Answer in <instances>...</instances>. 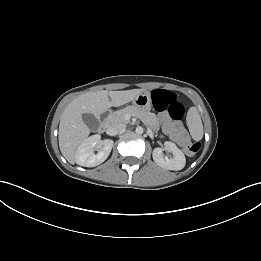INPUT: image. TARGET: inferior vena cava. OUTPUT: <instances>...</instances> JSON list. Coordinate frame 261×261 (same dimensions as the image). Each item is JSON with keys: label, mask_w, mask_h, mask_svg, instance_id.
Wrapping results in <instances>:
<instances>
[{"label": "inferior vena cava", "mask_w": 261, "mask_h": 261, "mask_svg": "<svg viewBox=\"0 0 261 261\" xmlns=\"http://www.w3.org/2000/svg\"><path fill=\"white\" fill-rule=\"evenodd\" d=\"M126 128V125L121 123H115L108 127L106 133L110 136H115L117 134L122 133Z\"/></svg>", "instance_id": "1"}]
</instances>
